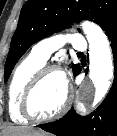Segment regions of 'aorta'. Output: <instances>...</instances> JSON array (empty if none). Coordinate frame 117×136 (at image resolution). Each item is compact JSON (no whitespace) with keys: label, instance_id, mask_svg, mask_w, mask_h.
Wrapping results in <instances>:
<instances>
[{"label":"aorta","instance_id":"aorta-1","mask_svg":"<svg viewBox=\"0 0 117 136\" xmlns=\"http://www.w3.org/2000/svg\"><path fill=\"white\" fill-rule=\"evenodd\" d=\"M82 30L89 43V78L95 87L94 102L101 101L108 92L114 75L110 43L103 30L93 22L82 23ZM76 110L86 112L84 99L78 101Z\"/></svg>","mask_w":117,"mask_h":136}]
</instances>
